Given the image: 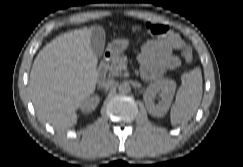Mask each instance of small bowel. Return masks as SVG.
Wrapping results in <instances>:
<instances>
[{
    "label": "small bowel",
    "instance_id": "small-bowel-1",
    "mask_svg": "<svg viewBox=\"0 0 243 167\" xmlns=\"http://www.w3.org/2000/svg\"><path fill=\"white\" fill-rule=\"evenodd\" d=\"M182 44L179 35L172 31L143 44L138 54L142 77L146 80H156L165 71L179 67L180 60L173 51L180 49Z\"/></svg>",
    "mask_w": 243,
    "mask_h": 167
}]
</instances>
